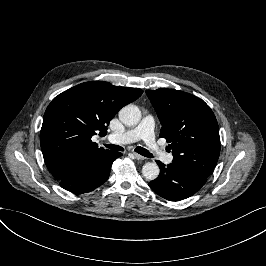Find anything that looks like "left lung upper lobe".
<instances>
[{
	"mask_svg": "<svg viewBox=\"0 0 266 266\" xmlns=\"http://www.w3.org/2000/svg\"><path fill=\"white\" fill-rule=\"evenodd\" d=\"M162 124L160 137L171 143L173 163L191 167L209 176L220 154L217 120L201 99L178 90H147Z\"/></svg>",
	"mask_w": 266,
	"mask_h": 266,
	"instance_id": "5c2ea615",
	"label": "left lung upper lobe"
}]
</instances>
